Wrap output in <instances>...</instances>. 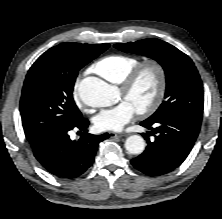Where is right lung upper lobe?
Masks as SVG:
<instances>
[{
  "label": "right lung upper lobe",
  "instance_id": "obj_1",
  "mask_svg": "<svg viewBox=\"0 0 222 219\" xmlns=\"http://www.w3.org/2000/svg\"><path fill=\"white\" fill-rule=\"evenodd\" d=\"M38 142H32L31 145L34 146L36 145Z\"/></svg>",
  "mask_w": 222,
  "mask_h": 219
}]
</instances>
